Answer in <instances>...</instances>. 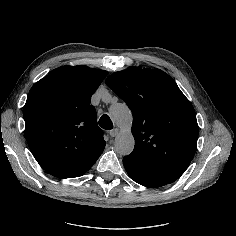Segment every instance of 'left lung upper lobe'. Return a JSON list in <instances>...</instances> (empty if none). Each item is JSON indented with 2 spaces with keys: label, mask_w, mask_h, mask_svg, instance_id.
Masks as SVG:
<instances>
[{
  "label": "left lung upper lobe",
  "mask_w": 236,
  "mask_h": 236,
  "mask_svg": "<svg viewBox=\"0 0 236 236\" xmlns=\"http://www.w3.org/2000/svg\"><path fill=\"white\" fill-rule=\"evenodd\" d=\"M106 84L133 114L135 147L124 158L172 183L187 169L197 147L195 110L175 81L162 70L129 68Z\"/></svg>",
  "instance_id": "left-lung-upper-lobe-1"
}]
</instances>
